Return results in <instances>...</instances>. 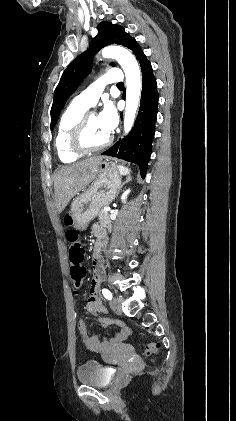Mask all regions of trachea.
I'll use <instances>...</instances> for the list:
<instances>
[{"label":"trachea","instance_id":"1","mask_svg":"<svg viewBox=\"0 0 236 421\" xmlns=\"http://www.w3.org/2000/svg\"><path fill=\"white\" fill-rule=\"evenodd\" d=\"M124 84L122 82L117 83V87H122Z\"/></svg>","mask_w":236,"mask_h":421}]
</instances>
